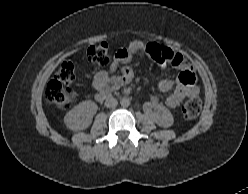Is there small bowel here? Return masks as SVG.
<instances>
[{
  "mask_svg": "<svg viewBox=\"0 0 248 194\" xmlns=\"http://www.w3.org/2000/svg\"><path fill=\"white\" fill-rule=\"evenodd\" d=\"M149 45L158 47L155 43L146 44L136 41L129 48H120L114 54V59L107 70L97 72L93 79V87L97 93L110 92L128 84L134 79V73L127 66L131 60V56L147 49ZM148 50V49H147ZM172 65L181 69L176 81L163 79L159 82V90L163 93H169L165 100L168 108H176L180 103L189 97L198 96L199 89L196 85V76L190 62L182 55L176 54L172 60ZM119 72L118 75H115ZM148 107L154 111L159 108L156 99L148 102Z\"/></svg>",
  "mask_w": 248,
  "mask_h": 194,
  "instance_id": "obj_1",
  "label": "small bowel"
}]
</instances>
